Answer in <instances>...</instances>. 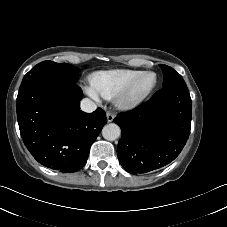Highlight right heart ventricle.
I'll list each match as a JSON object with an SVG mask.
<instances>
[{"label": "right heart ventricle", "mask_w": 227, "mask_h": 227, "mask_svg": "<svg viewBox=\"0 0 227 227\" xmlns=\"http://www.w3.org/2000/svg\"><path fill=\"white\" fill-rule=\"evenodd\" d=\"M142 71L133 69H113L98 71L90 77L92 89L100 96L111 98L117 95Z\"/></svg>", "instance_id": "1"}]
</instances>
